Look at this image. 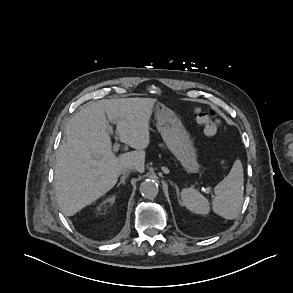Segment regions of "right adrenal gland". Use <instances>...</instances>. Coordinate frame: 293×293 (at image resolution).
<instances>
[{"label": "right adrenal gland", "instance_id": "right-adrenal-gland-1", "mask_svg": "<svg viewBox=\"0 0 293 293\" xmlns=\"http://www.w3.org/2000/svg\"><path fill=\"white\" fill-rule=\"evenodd\" d=\"M129 175H123L120 179V182L117 184V187H119L121 184L125 185V179L128 177Z\"/></svg>", "mask_w": 293, "mask_h": 293}]
</instances>
